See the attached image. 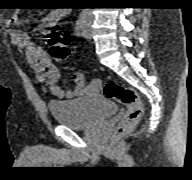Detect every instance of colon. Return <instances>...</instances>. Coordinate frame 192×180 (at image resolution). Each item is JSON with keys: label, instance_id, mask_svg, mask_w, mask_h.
Returning <instances> with one entry per match:
<instances>
[{"label": "colon", "instance_id": "5ec220e1", "mask_svg": "<svg viewBox=\"0 0 192 180\" xmlns=\"http://www.w3.org/2000/svg\"><path fill=\"white\" fill-rule=\"evenodd\" d=\"M45 36L50 45L49 55L57 61L66 60L70 55L68 48L70 38L56 28H48ZM103 92L106 97L127 107L126 114L114 133L115 137H120L130 131L141 119L143 113L142 102L135 91L116 81L106 82Z\"/></svg>", "mask_w": 192, "mask_h": 180}]
</instances>
